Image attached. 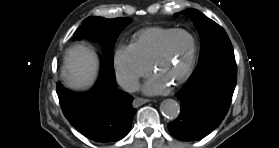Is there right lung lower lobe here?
I'll return each instance as SVG.
<instances>
[{"mask_svg": "<svg viewBox=\"0 0 279 148\" xmlns=\"http://www.w3.org/2000/svg\"><path fill=\"white\" fill-rule=\"evenodd\" d=\"M56 90L67 120L87 138L100 143L118 141L130 131L136 109L132 96L116 88L112 64L101 57L96 86L75 94L57 83Z\"/></svg>", "mask_w": 279, "mask_h": 148, "instance_id": "98d812e1", "label": "right lung lower lobe"}]
</instances>
